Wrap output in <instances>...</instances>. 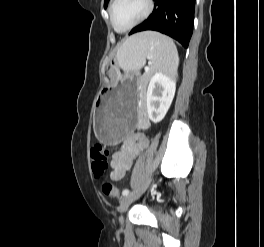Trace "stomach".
I'll use <instances>...</instances> for the list:
<instances>
[{
  "instance_id": "0dacf381",
  "label": "stomach",
  "mask_w": 264,
  "mask_h": 247,
  "mask_svg": "<svg viewBox=\"0 0 264 247\" xmlns=\"http://www.w3.org/2000/svg\"><path fill=\"white\" fill-rule=\"evenodd\" d=\"M115 68L121 70V64L115 63ZM117 78L120 82L116 86H102L98 90L99 98L95 105L94 124L98 138L106 143V147H113L120 141H127L131 131H136L138 108H134L136 99L135 86L138 82L134 76L124 75L119 71Z\"/></svg>"
}]
</instances>
